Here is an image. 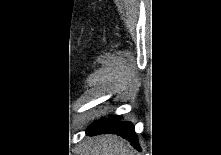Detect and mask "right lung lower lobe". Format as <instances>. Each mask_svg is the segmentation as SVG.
<instances>
[{
    "label": "right lung lower lobe",
    "instance_id": "obj_1",
    "mask_svg": "<svg viewBox=\"0 0 221 155\" xmlns=\"http://www.w3.org/2000/svg\"><path fill=\"white\" fill-rule=\"evenodd\" d=\"M88 135L101 133L118 134L122 138L127 139L131 144L140 150L134 126L131 122L120 121V117L113 115L94 122L86 131Z\"/></svg>",
    "mask_w": 221,
    "mask_h": 155
}]
</instances>
